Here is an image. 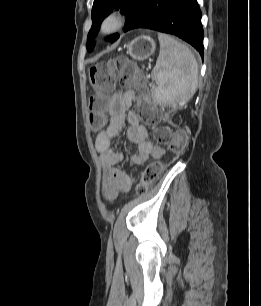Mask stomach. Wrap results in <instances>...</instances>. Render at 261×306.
I'll list each match as a JSON object with an SVG mask.
<instances>
[{
  "instance_id": "1",
  "label": "stomach",
  "mask_w": 261,
  "mask_h": 306,
  "mask_svg": "<svg viewBox=\"0 0 261 306\" xmlns=\"http://www.w3.org/2000/svg\"><path fill=\"white\" fill-rule=\"evenodd\" d=\"M155 51V42L148 36H139L127 45V54L133 59L143 61Z\"/></svg>"
}]
</instances>
